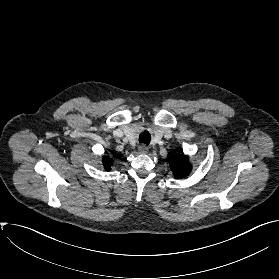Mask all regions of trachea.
<instances>
[{
    "mask_svg": "<svg viewBox=\"0 0 279 279\" xmlns=\"http://www.w3.org/2000/svg\"><path fill=\"white\" fill-rule=\"evenodd\" d=\"M151 141V135L148 131H143L139 135V142L148 145Z\"/></svg>",
    "mask_w": 279,
    "mask_h": 279,
    "instance_id": "3493384b",
    "label": "trachea"
}]
</instances>
